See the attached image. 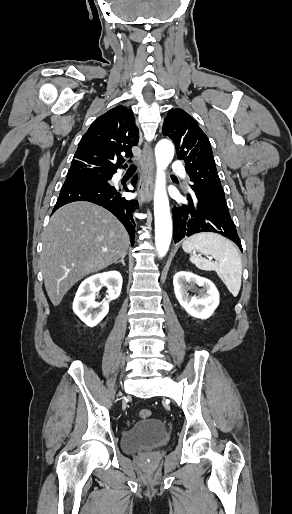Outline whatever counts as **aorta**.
I'll list each match as a JSON object with an SVG mask.
<instances>
[{
    "instance_id": "762f6f07",
    "label": "aorta",
    "mask_w": 292,
    "mask_h": 514,
    "mask_svg": "<svg viewBox=\"0 0 292 514\" xmlns=\"http://www.w3.org/2000/svg\"><path fill=\"white\" fill-rule=\"evenodd\" d=\"M174 146L169 140H160L155 148L156 180L154 194L155 246L159 258L167 254L172 238V220L166 192L165 170L172 162Z\"/></svg>"
}]
</instances>
